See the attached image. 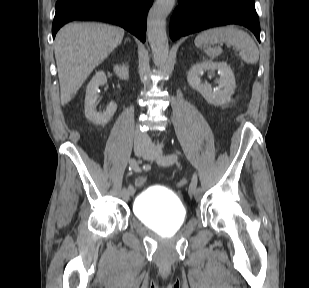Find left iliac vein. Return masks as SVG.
Masks as SVG:
<instances>
[{
    "label": "left iliac vein",
    "mask_w": 309,
    "mask_h": 288,
    "mask_svg": "<svg viewBox=\"0 0 309 288\" xmlns=\"http://www.w3.org/2000/svg\"><path fill=\"white\" fill-rule=\"evenodd\" d=\"M161 156H162V152H161L160 148L151 146L148 149V154L146 156H144L143 158L150 160V161H160ZM189 194H190V196L194 195V198L196 200H198L202 196V189L197 188L195 190V193H193L192 191H189Z\"/></svg>",
    "instance_id": "left-iliac-vein-1"
}]
</instances>
